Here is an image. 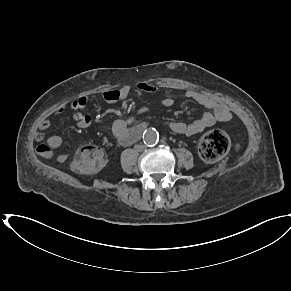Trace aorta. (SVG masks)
I'll list each match as a JSON object with an SVG mask.
<instances>
[{"instance_id": "aorta-1", "label": "aorta", "mask_w": 291, "mask_h": 291, "mask_svg": "<svg viewBox=\"0 0 291 291\" xmlns=\"http://www.w3.org/2000/svg\"><path fill=\"white\" fill-rule=\"evenodd\" d=\"M158 138H159L158 132L153 128H149L143 134L144 143L148 146H152L155 143H157Z\"/></svg>"}]
</instances>
